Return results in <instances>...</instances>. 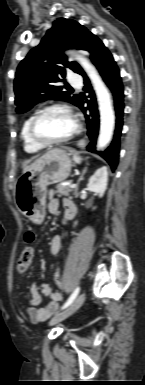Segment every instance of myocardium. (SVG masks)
Listing matches in <instances>:
<instances>
[{
  "mask_svg": "<svg viewBox=\"0 0 145 385\" xmlns=\"http://www.w3.org/2000/svg\"><path fill=\"white\" fill-rule=\"evenodd\" d=\"M53 110H61V111L66 112L67 114H69L74 119L76 126H75L74 131L70 135H68L62 139H58V140H54V141H46V140H43L38 135L37 125H38L39 120L46 113L53 111ZM80 132H81V124H80L78 117L76 116L74 111L68 105H65V104H52V105H48V106L40 109L37 113H35V115L33 116L32 120H31V123L29 125V137H30L31 141L35 145H37L41 148H47V147H52V146H57V145L67 143V142L71 141L72 139H74L76 136H78L80 134Z\"/></svg>",
  "mask_w": 145,
  "mask_h": 385,
  "instance_id": "1",
  "label": "myocardium"
}]
</instances>
